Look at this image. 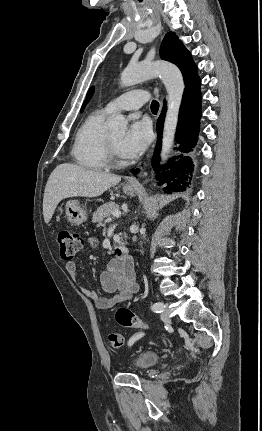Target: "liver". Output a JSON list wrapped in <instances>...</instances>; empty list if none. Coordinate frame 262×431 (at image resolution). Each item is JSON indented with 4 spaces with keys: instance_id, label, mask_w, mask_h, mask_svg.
<instances>
[{
    "instance_id": "6515ba94",
    "label": "liver",
    "mask_w": 262,
    "mask_h": 431,
    "mask_svg": "<svg viewBox=\"0 0 262 431\" xmlns=\"http://www.w3.org/2000/svg\"><path fill=\"white\" fill-rule=\"evenodd\" d=\"M121 181L115 174L95 171L71 163L58 165L51 173L44 191L43 216L48 224L63 199L97 197Z\"/></svg>"
}]
</instances>
